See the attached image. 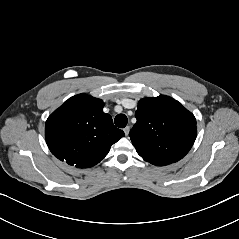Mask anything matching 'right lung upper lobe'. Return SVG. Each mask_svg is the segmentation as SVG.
<instances>
[{
  "mask_svg": "<svg viewBox=\"0 0 239 239\" xmlns=\"http://www.w3.org/2000/svg\"><path fill=\"white\" fill-rule=\"evenodd\" d=\"M104 102L87 94L69 98L47 119L46 143L67 164L88 168L99 163L125 134L103 112Z\"/></svg>",
  "mask_w": 239,
  "mask_h": 239,
  "instance_id": "cb5924a9",
  "label": "right lung upper lobe"
}]
</instances>
